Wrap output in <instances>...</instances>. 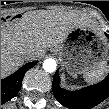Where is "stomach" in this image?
I'll return each mask as SVG.
<instances>
[{"label": "stomach", "mask_w": 109, "mask_h": 109, "mask_svg": "<svg viewBox=\"0 0 109 109\" xmlns=\"http://www.w3.org/2000/svg\"><path fill=\"white\" fill-rule=\"evenodd\" d=\"M52 52L67 72L76 77L108 62L109 42L103 32L82 25L71 30L61 44L52 48Z\"/></svg>", "instance_id": "1"}]
</instances>
